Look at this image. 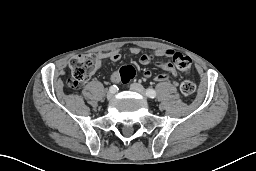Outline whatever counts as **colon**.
<instances>
[{
	"label": "colon",
	"instance_id": "colon-1",
	"mask_svg": "<svg viewBox=\"0 0 256 171\" xmlns=\"http://www.w3.org/2000/svg\"><path fill=\"white\" fill-rule=\"evenodd\" d=\"M174 62L182 71H189L192 65L191 58L182 54L175 55ZM102 65L103 61L97 55L88 54L75 56L70 61L71 78L69 79V85L72 88L80 87L89 79L90 75L99 70ZM136 74L137 71L132 65L122 66L117 71L119 81L125 84L132 81ZM179 89L185 98H191L196 91V86L192 80L186 79L180 83Z\"/></svg>",
	"mask_w": 256,
	"mask_h": 171
}]
</instances>
